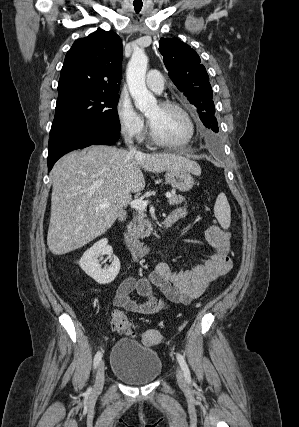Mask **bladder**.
<instances>
[{"label": "bladder", "mask_w": 299, "mask_h": 427, "mask_svg": "<svg viewBox=\"0 0 299 427\" xmlns=\"http://www.w3.org/2000/svg\"><path fill=\"white\" fill-rule=\"evenodd\" d=\"M162 370L160 357L138 341L123 338L111 350V372L123 381L146 384L156 379Z\"/></svg>", "instance_id": "bladder-1"}]
</instances>
